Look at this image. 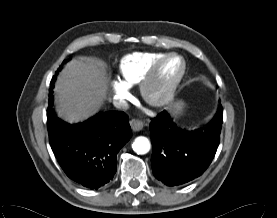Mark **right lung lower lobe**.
Instances as JSON below:
<instances>
[{
  "mask_svg": "<svg viewBox=\"0 0 277 218\" xmlns=\"http://www.w3.org/2000/svg\"><path fill=\"white\" fill-rule=\"evenodd\" d=\"M47 118L50 145L66 175L90 189L107 184L117 169V153L132 136L128 116L121 111L100 112L70 125L48 108Z\"/></svg>",
  "mask_w": 277,
  "mask_h": 218,
  "instance_id": "obj_1",
  "label": "right lung lower lobe"
}]
</instances>
